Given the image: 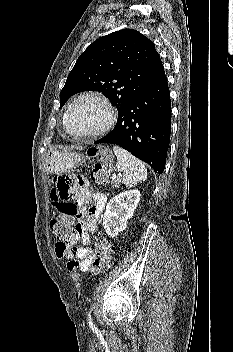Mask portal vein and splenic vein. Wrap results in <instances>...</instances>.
Segmentation results:
<instances>
[{
  "mask_svg": "<svg viewBox=\"0 0 233 352\" xmlns=\"http://www.w3.org/2000/svg\"><path fill=\"white\" fill-rule=\"evenodd\" d=\"M112 180H115L117 178L116 174H112Z\"/></svg>",
  "mask_w": 233,
  "mask_h": 352,
  "instance_id": "portal-vein-and-splenic-vein-1",
  "label": "portal vein and splenic vein"
}]
</instances>
